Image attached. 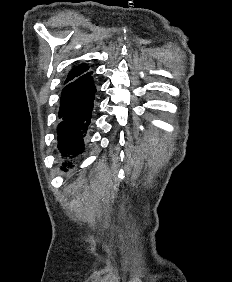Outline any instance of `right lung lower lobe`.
I'll return each mask as SVG.
<instances>
[{"label": "right lung lower lobe", "instance_id": "obj_1", "mask_svg": "<svg viewBox=\"0 0 232 282\" xmlns=\"http://www.w3.org/2000/svg\"><path fill=\"white\" fill-rule=\"evenodd\" d=\"M91 74L92 72H85L66 81L62 89L57 134L58 149L63 157L70 158L84 152L96 93Z\"/></svg>", "mask_w": 232, "mask_h": 282}]
</instances>
